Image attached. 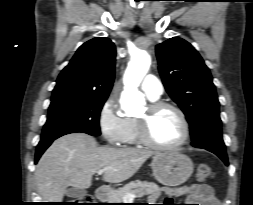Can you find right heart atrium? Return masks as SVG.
Returning a JSON list of instances; mask_svg holds the SVG:
<instances>
[{"instance_id":"obj_1","label":"right heart atrium","mask_w":253,"mask_h":205,"mask_svg":"<svg viewBox=\"0 0 253 205\" xmlns=\"http://www.w3.org/2000/svg\"><path fill=\"white\" fill-rule=\"evenodd\" d=\"M98 126L108 144L119 146L124 143L127 118L119 113L114 98L110 97L102 104L98 113Z\"/></svg>"}]
</instances>
